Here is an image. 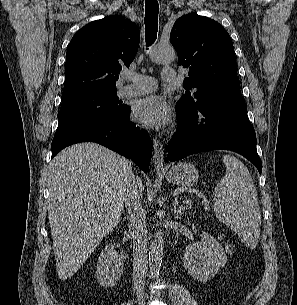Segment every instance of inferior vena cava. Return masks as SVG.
<instances>
[{"instance_id": "1", "label": "inferior vena cava", "mask_w": 297, "mask_h": 305, "mask_svg": "<svg viewBox=\"0 0 297 305\" xmlns=\"http://www.w3.org/2000/svg\"><path fill=\"white\" fill-rule=\"evenodd\" d=\"M125 205L129 213V230L133 238V282L137 298L144 297V281L147 275V228L145 210L139 196L138 178L133 175L125 193Z\"/></svg>"}]
</instances>
